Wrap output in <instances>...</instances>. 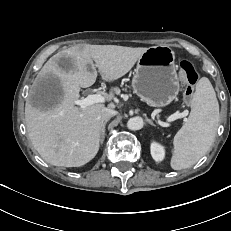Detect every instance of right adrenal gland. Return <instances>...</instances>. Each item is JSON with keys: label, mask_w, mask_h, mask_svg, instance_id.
Returning <instances> with one entry per match:
<instances>
[{"label": "right adrenal gland", "mask_w": 231, "mask_h": 231, "mask_svg": "<svg viewBox=\"0 0 231 231\" xmlns=\"http://www.w3.org/2000/svg\"><path fill=\"white\" fill-rule=\"evenodd\" d=\"M108 120H105L102 122V126H101V143L103 142L104 140V137H105V126L107 124Z\"/></svg>", "instance_id": "right-adrenal-gland-1"}]
</instances>
